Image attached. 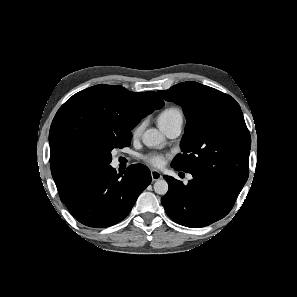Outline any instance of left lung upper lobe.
<instances>
[{
  "label": "left lung upper lobe",
  "instance_id": "left-lung-upper-lobe-1",
  "mask_svg": "<svg viewBox=\"0 0 297 297\" xmlns=\"http://www.w3.org/2000/svg\"><path fill=\"white\" fill-rule=\"evenodd\" d=\"M158 93L179 104L187 120L182 153L171 165L238 195L248 179L251 146L239 104L230 95L194 81Z\"/></svg>",
  "mask_w": 297,
  "mask_h": 297
}]
</instances>
